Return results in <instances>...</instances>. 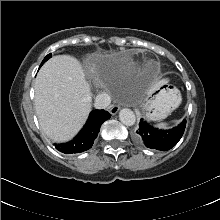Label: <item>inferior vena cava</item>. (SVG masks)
<instances>
[{
	"mask_svg": "<svg viewBox=\"0 0 220 220\" xmlns=\"http://www.w3.org/2000/svg\"><path fill=\"white\" fill-rule=\"evenodd\" d=\"M110 102H111L110 96L106 93H101L94 98V107L96 109H103L108 107Z\"/></svg>",
	"mask_w": 220,
	"mask_h": 220,
	"instance_id": "602c4592",
	"label": "inferior vena cava"
}]
</instances>
